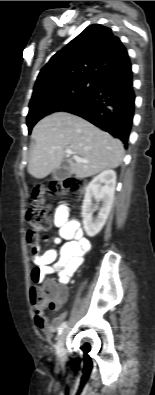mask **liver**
Returning a JSON list of instances; mask_svg holds the SVG:
<instances>
[{
  "instance_id": "1",
  "label": "liver",
  "mask_w": 155,
  "mask_h": 395,
  "mask_svg": "<svg viewBox=\"0 0 155 395\" xmlns=\"http://www.w3.org/2000/svg\"><path fill=\"white\" fill-rule=\"evenodd\" d=\"M36 144L31 152L28 172L34 178H45L60 167L71 150L86 162L68 158L70 173L78 178L94 176L117 168L124 157L120 140L113 138L87 120L66 112L53 113L40 120L32 131Z\"/></svg>"
}]
</instances>
